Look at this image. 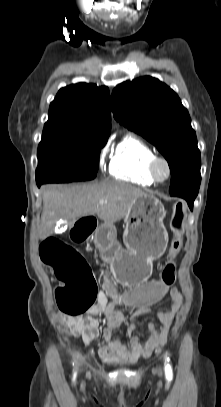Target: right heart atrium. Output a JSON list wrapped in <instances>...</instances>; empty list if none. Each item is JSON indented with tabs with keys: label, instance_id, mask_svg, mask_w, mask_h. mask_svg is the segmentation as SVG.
<instances>
[{
	"label": "right heart atrium",
	"instance_id": "1",
	"mask_svg": "<svg viewBox=\"0 0 221 407\" xmlns=\"http://www.w3.org/2000/svg\"><path fill=\"white\" fill-rule=\"evenodd\" d=\"M107 151H108L107 146H104L100 150V153H99V156H98V163H99L100 167H103V165H104V161H105V158H106V155H107Z\"/></svg>",
	"mask_w": 221,
	"mask_h": 407
}]
</instances>
